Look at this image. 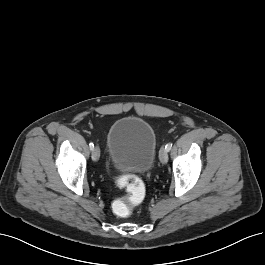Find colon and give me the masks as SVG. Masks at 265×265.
<instances>
[{"label": "colon", "instance_id": "5ec220e1", "mask_svg": "<svg viewBox=\"0 0 265 265\" xmlns=\"http://www.w3.org/2000/svg\"><path fill=\"white\" fill-rule=\"evenodd\" d=\"M118 185L125 188L129 197L115 204V211L120 217L129 216L135 205L139 204L144 198V186L142 181L133 174H128L118 181Z\"/></svg>", "mask_w": 265, "mask_h": 265}]
</instances>
